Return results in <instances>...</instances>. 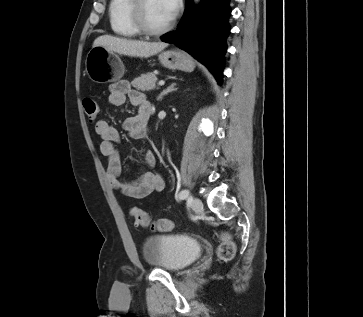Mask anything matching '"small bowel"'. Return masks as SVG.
<instances>
[{
	"mask_svg": "<svg viewBox=\"0 0 363 317\" xmlns=\"http://www.w3.org/2000/svg\"><path fill=\"white\" fill-rule=\"evenodd\" d=\"M126 98L137 107L135 116L125 120L124 128L129 136L134 139H146L148 137L147 122L151 113V105L146 96L131 88L126 80L117 81L112 84L108 96L109 103L113 106H121ZM95 132L101 138L100 152L107 158L106 176L110 185L122 194L144 198L151 193L161 192L165 187L163 177L153 170L155 157L153 153L146 150L143 154L144 169L134 182H126L120 178L122 165L115 143L119 141L118 130L106 120H99L95 124Z\"/></svg>",
	"mask_w": 363,
	"mask_h": 317,
	"instance_id": "1",
	"label": "small bowel"
}]
</instances>
